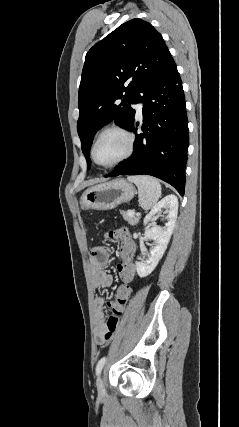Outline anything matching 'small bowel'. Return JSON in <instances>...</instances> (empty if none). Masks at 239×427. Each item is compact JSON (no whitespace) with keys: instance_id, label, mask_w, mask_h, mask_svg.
I'll return each mask as SVG.
<instances>
[{"instance_id":"small-bowel-1","label":"small bowel","mask_w":239,"mask_h":427,"mask_svg":"<svg viewBox=\"0 0 239 427\" xmlns=\"http://www.w3.org/2000/svg\"><path fill=\"white\" fill-rule=\"evenodd\" d=\"M110 254L111 248L103 245L96 246L90 251L89 260L91 266L92 281L95 288H108L113 284V276L105 270L108 264ZM129 298L123 299L127 301ZM124 306L121 308V311L123 310ZM105 309V300L99 296L95 297L94 314L96 319V329L99 335H102L103 332L106 330V325L104 321Z\"/></svg>"}]
</instances>
